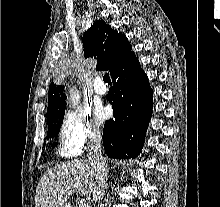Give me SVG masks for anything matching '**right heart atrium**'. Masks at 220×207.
<instances>
[{
  "instance_id": "right-heart-atrium-1",
  "label": "right heart atrium",
  "mask_w": 220,
  "mask_h": 207,
  "mask_svg": "<svg viewBox=\"0 0 220 207\" xmlns=\"http://www.w3.org/2000/svg\"><path fill=\"white\" fill-rule=\"evenodd\" d=\"M100 139V131L93 125L86 113L71 111L64 115L59 127L61 147L81 154L97 144Z\"/></svg>"
}]
</instances>
